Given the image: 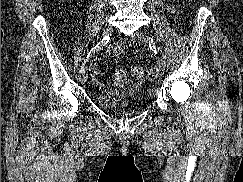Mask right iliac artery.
Segmentation results:
<instances>
[{
	"label": "right iliac artery",
	"instance_id": "82829eb1",
	"mask_svg": "<svg viewBox=\"0 0 243 182\" xmlns=\"http://www.w3.org/2000/svg\"><path fill=\"white\" fill-rule=\"evenodd\" d=\"M110 41V36H105L103 37V39L96 45L94 46L91 51L88 53L87 55V59H85L84 64L86 63V61H88L92 56L95 55V53L98 50H101L104 46H106Z\"/></svg>",
	"mask_w": 243,
	"mask_h": 182
}]
</instances>
